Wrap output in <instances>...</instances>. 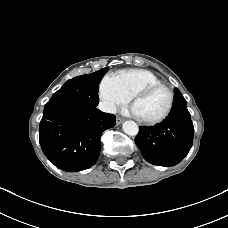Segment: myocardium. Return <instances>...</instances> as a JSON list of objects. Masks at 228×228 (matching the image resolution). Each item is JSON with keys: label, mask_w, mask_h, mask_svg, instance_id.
<instances>
[{"label": "myocardium", "mask_w": 228, "mask_h": 228, "mask_svg": "<svg viewBox=\"0 0 228 228\" xmlns=\"http://www.w3.org/2000/svg\"><path fill=\"white\" fill-rule=\"evenodd\" d=\"M160 88L166 89L168 91L169 97H170L169 104H168L166 110L160 116H158L156 118L146 119V118L140 117V120L145 124L155 125V124H158V123L164 121L169 116V114L171 113L173 106H174V100H175L174 92L169 86H167L163 83H157V84L147 85V86L141 88L140 90H138L133 95V104H135L139 99L146 97L151 92H153L157 89H160Z\"/></svg>", "instance_id": "myocardium-1"}]
</instances>
